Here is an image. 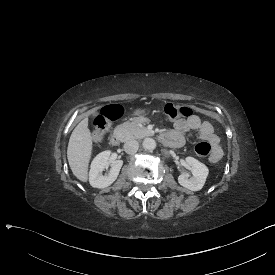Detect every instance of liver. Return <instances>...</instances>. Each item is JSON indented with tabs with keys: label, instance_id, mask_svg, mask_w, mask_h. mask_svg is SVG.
<instances>
[{
	"label": "liver",
	"instance_id": "6515ba94",
	"mask_svg": "<svg viewBox=\"0 0 275 275\" xmlns=\"http://www.w3.org/2000/svg\"><path fill=\"white\" fill-rule=\"evenodd\" d=\"M92 136L88 118H84L73 130L67 148V158L73 174L81 181L88 179V164L91 157Z\"/></svg>",
	"mask_w": 275,
	"mask_h": 275
}]
</instances>
